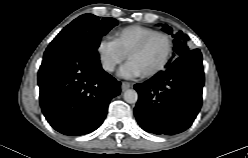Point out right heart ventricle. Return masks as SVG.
<instances>
[{
  "mask_svg": "<svg viewBox=\"0 0 248 158\" xmlns=\"http://www.w3.org/2000/svg\"><path fill=\"white\" fill-rule=\"evenodd\" d=\"M152 32H154V30L151 28L132 25L116 30L112 37L113 41L118 45L122 52L127 55L137 42Z\"/></svg>",
  "mask_w": 248,
  "mask_h": 158,
  "instance_id": "e07e8e85",
  "label": "right heart ventricle"
}]
</instances>
